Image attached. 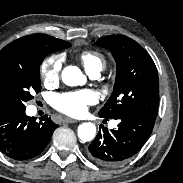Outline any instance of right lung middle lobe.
<instances>
[{"instance_id":"obj_1","label":"right lung middle lobe","mask_w":183,"mask_h":183,"mask_svg":"<svg viewBox=\"0 0 183 183\" xmlns=\"http://www.w3.org/2000/svg\"><path fill=\"white\" fill-rule=\"evenodd\" d=\"M46 53H31L22 65H11L0 70V108L25 107L41 91L39 68Z\"/></svg>"}]
</instances>
